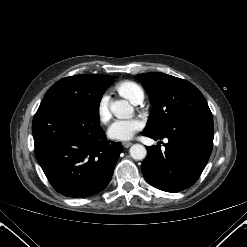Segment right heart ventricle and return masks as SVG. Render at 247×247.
I'll list each match as a JSON object with an SVG mask.
<instances>
[{
  "instance_id": "1",
  "label": "right heart ventricle",
  "mask_w": 247,
  "mask_h": 247,
  "mask_svg": "<svg viewBox=\"0 0 247 247\" xmlns=\"http://www.w3.org/2000/svg\"><path fill=\"white\" fill-rule=\"evenodd\" d=\"M116 89L123 97L132 103L144 96L142 88L133 81H122L117 85Z\"/></svg>"
}]
</instances>
